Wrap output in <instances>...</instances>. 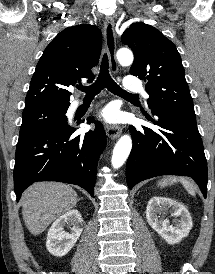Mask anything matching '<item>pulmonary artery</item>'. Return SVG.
<instances>
[{
    "label": "pulmonary artery",
    "instance_id": "e3ab8cb5",
    "mask_svg": "<svg viewBox=\"0 0 215 274\" xmlns=\"http://www.w3.org/2000/svg\"><path fill=\"white\" fill-rule=\"evenodd\" d=\"M124 87L127 91L131 92H143L144 96L148 98V94L144 91L142 84L139 80L133 77H126L124 80ZM81 102L79 100H75L72 103V108H76Z\"/></svg>",
    "mask_w": 215,
    "mask_h": 274
}]
</instances>
